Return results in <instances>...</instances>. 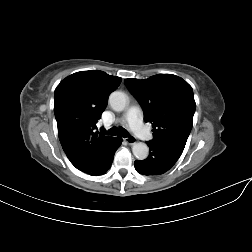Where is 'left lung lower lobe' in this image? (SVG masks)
I'll use <instances>...</instances> for the list:
<instances>
[{"instance_id": "obj_1", "label": "left lung lower lobe", "mask_w": 252, "mask_h": 252, "mask_svg": "<svg viewBox=\"0 0 252 252\" xmlns=\"http://www.w3.org/2000/svg\"><path fill=\"white\" fill-rule=\"evenodd\" d=\"M147 145L150 151L149 156L144 160H136L134 163L135 169L145 176L160 175L167 172L182 154L181 151L167 144L149 141Z\"/></svg>"}]
</instances>
